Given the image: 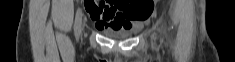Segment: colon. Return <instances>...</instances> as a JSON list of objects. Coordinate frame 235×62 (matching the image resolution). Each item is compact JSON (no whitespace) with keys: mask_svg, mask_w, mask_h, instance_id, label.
I'll return each mask as SVG.
<instances>
[{"mask_svg":"<svg viewBox=\"0 0 235 62\" xmlns=\"http://www.w3.org/2000/svg\"><path fill=\"white\" fill-rule=\"evenodd\" d=\"M153 10L152 0H129L127 1V14L138 20H146Z\"/></svg>","mask_w":235,"mask_h":62,"instance_id":"obj_1","label":"colon"}]
</instances>
